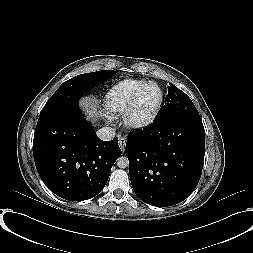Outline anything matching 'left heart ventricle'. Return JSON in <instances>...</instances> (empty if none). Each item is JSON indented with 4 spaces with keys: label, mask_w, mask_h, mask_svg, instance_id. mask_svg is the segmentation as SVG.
<instances>
[{
    "label": "left heart ventricle",
    "mask_w": 253,
    "mask_h": 253,
    "mask_svg": "<svg viewBox=\"0 0 253 253\" xmlns=\"http://www.w3.org/2000/svg\"><path fill=\"white\" fill-rule=\"evenodd\" d=\"M160 100V92L155 85L147 86L141 94L139 105L136 110V117L144 119L156 108Z\"/></svg>",
    "instance_id": "1"
}]
</instances>
